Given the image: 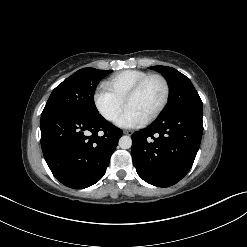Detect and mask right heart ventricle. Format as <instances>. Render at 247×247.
Wrapping results in <instances>:
<instances>
[{
	"mask_svg": "<svg viewBox=\"0 0 247 247\" xmlns=\"http://www.w3.org/2000/svg\"><path fill=\"white\" fill-rule=\"evenodd\" d=\"M148 74L142 70H125L112 75L104 84L110 91L124 100L129 90Z\"/></svg>",
	"mask_w": 247,
	"mask_h": 247,
	"instance_id": "e07e8e85",
	"label": "right heart ventricle"
}]
</instances>
